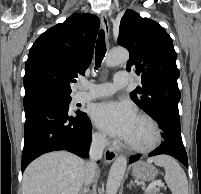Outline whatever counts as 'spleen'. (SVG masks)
<instances>
[{
  "label": "spleen",
  "mask_w": 201,
  "mask_h": 194,
  "mask_svg": "<svg viewBox=\"0 0 201 194\" xmlns=\"http://www.w3.org/2000/svg\"><path fill=\"white\" fill-rule=\"evenodd\" d=\"M147 162L155 163V165L165 169V181L172 194H188L187 177L175 159L167 155H159L148 158Z\"/></svg>",
  "instance_id": "obj_1"
}]
</instances>
